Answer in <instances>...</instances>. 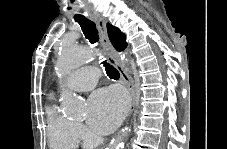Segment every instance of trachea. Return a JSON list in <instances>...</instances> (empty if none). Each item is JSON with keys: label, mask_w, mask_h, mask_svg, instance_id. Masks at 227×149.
<instances>
[{"label": "trachea", "mask_w": 227, "mask_h": 149, "mask_svg": "<svg viewBox=\"0 0 227 149\" xmlns=\"http://www.w3.org/2000/svg\"><path fill=\"white\" fill-rule=\"evenodd\" d=\"M80 25L85 37L90 41L91 44L96 43L99 40L98 30L93 21L88 19L75 20ZM104 64L107 75L110 79H119L120 74L116 68L107 63L106 61L102 62Z\"/></svg>", "instance_id": "3493384b"}]
</instances>
